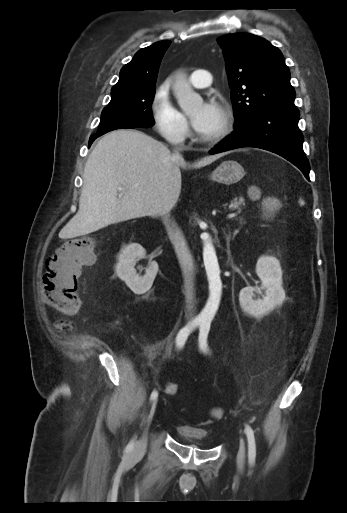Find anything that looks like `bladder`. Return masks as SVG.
I'll return each instance as SVG.
<instances>
[{
	"label": "bladder",
	"instance_id": "1",
	"mask_svg": "<svg viewBox=\"0 0 347 513\" xmlns=\"http://www.w3.org/2000/svg\"><path fill=\"white\" fill-rule=\"evenodd\" d=\"M178 434L186 444L204 449H214L216 443L208 437L205 429L196 428L189 425H181L178 427Z\"/></svg>",
	"mask_w": 347,
	"mask_h": 513
}]
</instances>
